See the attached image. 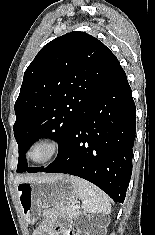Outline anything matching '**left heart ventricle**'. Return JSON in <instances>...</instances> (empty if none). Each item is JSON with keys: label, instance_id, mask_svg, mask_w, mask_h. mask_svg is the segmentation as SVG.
I'll return each mask as SVG.
<instances>
[{"label": "left heart ventricle", "instance_id": "obj_1", "mask_svg": "<svg viewBox=\"0 0 155 235\" xmlns=\"http://www.w3.org/2000/svg\"><path fill=\"white\" fill-rule=\"evenodd\" d=\"M49 153V148L47 146H38L32 152V157L35 160L44 159Z\"/></svg>", "mask_w": 155, "mask_h": 235}]
</instances>
